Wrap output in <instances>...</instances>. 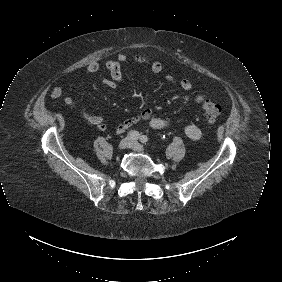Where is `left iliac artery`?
I'll list each match as a JSON object with an SVG mask.
<instances>
[{
  "instance_id": "1",
  "label": "left iliac artery",
  "mask_w": 282,
  "mask_h": 282,
  "mask_svg": "<svg viewBox=\"0 0 282 282\" xmlns=\"http://www.w3.org/2000/svg\"><path fill=\"white\" fill-rule=\"evenodd\" d=\"M140 141L142 143H146L148 141V137L146 135H142V136H140Z\"/></svg>"
}]
</instances>
